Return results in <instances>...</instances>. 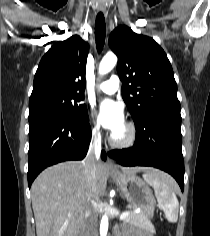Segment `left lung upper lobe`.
<instances>
[{"label": "left lung upper lobe", "instance_id": "obj_1", "mask_svg": "<svg viewBox=\"0 0 210 236\" xmlns=\"http://www.w3.org/2000/svg\"><path fill=\"white\" fill-rule=\"evenodd\" d=\"M109 45L118 56L122 97L134 122L150 112L180 113L173 69L153 38L119 26L110 34Z\"/></svg>", "mask_w": 210, "mask_h": 236}]
</instances>
